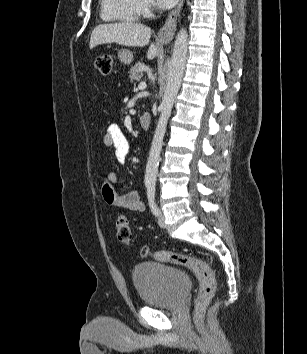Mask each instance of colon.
<instances>
[{
  "label": "colon",
  "mask_w": 307,
  "mask_h": 354,
  "mask_svg": "<svg viewBox=\"0 0 307 354\" xmlns=\"http://www.w3.org/2000/svg\"><path fill=\"white\" fill-rule=\"evenodd\" d=\"M94 66L102 75H109L112 69V58L108 54L99 55L94 59ZM116 234L121 243L129 245L132 240V232L128 219L120 215L116 219ZM142 254L152 256L154 259L169 262L186 267L193 271L199 279V290L196 298V311H201L211 300L216 290V280L214 274L207 263L180 253L170 251L150 252L148 248L142 249Z\"/></svg>",
  "instance_id": "colon-1"
}]
</instances>
